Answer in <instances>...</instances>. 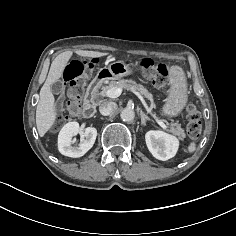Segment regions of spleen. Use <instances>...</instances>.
Instances as JSON below:
<instances>
[{"label": "spleen", "mask_w": 236, "mask_h": 236, "mask_svg": "<svg viewBox=\"0 0 236 236\" xmlns=\"http://www.w3.org/2000/svg\"><path fill=\"white\" fill-rule=\"evenodd\" d=\"M189 153H193L196 150V143L195 142H191L187 148Z\"/></svg>", "instance_id": "1"}]
</instances>
